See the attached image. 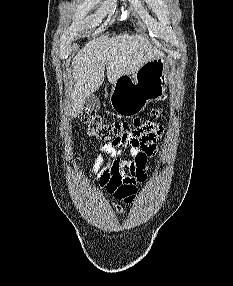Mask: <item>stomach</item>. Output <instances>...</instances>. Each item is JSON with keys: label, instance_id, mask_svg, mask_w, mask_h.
Here are the masks:
<instances>
[{"label": "stomach", "instance_id": "1", "mask_svg": "<svg viewBox=\"0 0 233 286\" xmlns=\"http://www.w3.org/2000/svg\"><path fill=\"white\" fill-rule=\"evenodd\" d=\"M168 71V61L161 55L146 62L133 77L121 76L111 90L112 109L127 118L143 111L149 102L164 95L168 84Z\"/></svg>", "mask_w": 233, "mask_h": 286}]
</instances>
